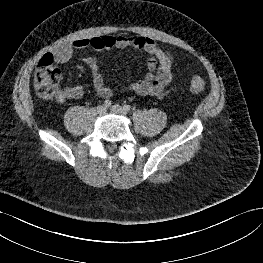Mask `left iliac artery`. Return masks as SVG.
Returning <instances> with one entry per match:
<instances>
[{
	"instance_id": "44dca946",
	"label": "left iliac artery",
	"mask_w": 263,
	"mask_h": 263,
	"mask_svg": "<svg viewBox=\"0 0 263 263\" xmlns=\"http://www.w3.org/2000/svg\"><path fill=\"white\" fill-rule=\"evenodd\" d=\"M124 110L126 111V112H129L130 110H131V107H130V105H124Z\"/></svg>"
}]
</instances>
